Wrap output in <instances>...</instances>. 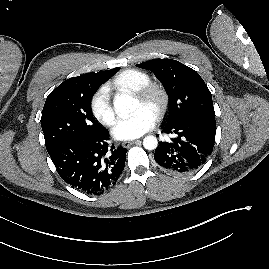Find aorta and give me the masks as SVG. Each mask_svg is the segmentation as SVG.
I'll use <instances>...</instances> for the list:
<instances>
[{"label": "aorta", "instance_id": "762f6f07", "mask_svg": "<svg viewBox=\"0 0 269 269\" xmlns=\"http://www.w3.org/2000/svg\"><path fill=\"white\" fill-rule=\"evenodd\" d=\"M115 112L120 118L127 119L138 108V101L128 94L116 95L113 100ZM143 146L147 150H154L158 146L155 136H147L143 139Z\"/></svg>", "mask_w": 269, "mask_h": 269}]
</instances>
